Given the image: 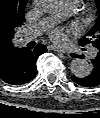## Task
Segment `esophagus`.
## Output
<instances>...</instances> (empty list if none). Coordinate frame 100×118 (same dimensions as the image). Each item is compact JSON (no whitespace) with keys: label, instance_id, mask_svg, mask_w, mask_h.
I'll return each mask as SVG.
<instances>
[{"label":"esophagus","instance_id":"34e87169","mask_svg":"<svg viewBox=\"0 0 100 118\" xmlns=\"http://www.w3.org/2000/svg\"><path fill=\"white\" fill-rule=\"evenodd\" d=\"M49 48L53 51H57V52H61V53H65V51L59 47L56 46H49Z\"/></svg>","mask_w":100,"mask_h":118}]
</instances>
